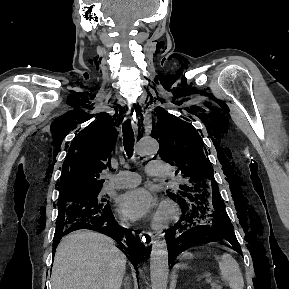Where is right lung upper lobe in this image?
Instances as JSON below:
<instances>
[{"label":"right lung upper lobe","instance_id":"obj_1","mask_svg":"<svg viewBox=\"0 0 289 289\" xmlns=\"http://www.w3.org/2000/svg\"><path fill=\"white\" fill-rule=\"evenodd\" d=\"M117 132L114 120L102 115L83 129L69 147L58 185L60 197L79 191L101 189L100 173L110 161Z\"/></svg>","mask_w":289,"mask_h":289}]
</instances>
